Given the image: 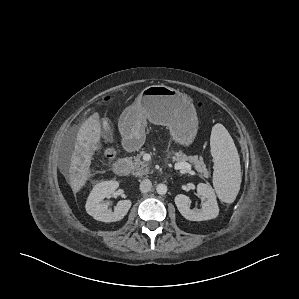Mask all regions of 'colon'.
<instances>
[{"mask_svg":"<svg viewBox=\"0 0 299 299\" xmlns=\"http://www.w3.org/2000/svg\"><path fill=\"white\" fill-rule=\"evenodd\" d=\"M110 97H106L105 101H109ZM115 152L113 150H109L107 153V157H113Z\"/></svg>","mask_w":299,"mask_h":299,"instance_id":"colon-1","label":"colon"}]
</instances>
